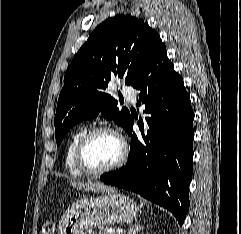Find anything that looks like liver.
Masks as SVG:
<instances>
[{
  "instance_id": "6515ba94",
  "label": "liver",
  "mask_w": 241,
  "mask_h": 234,
  "mask_svg": "<svg viewBox=\"0 0 241 234\" xmlns=\"http://www.w3.org/2000/svg\"><path fill=\"white\" fill-rule=\"evenodd\" d=\"M72 187L76 188L77 190H84V191H92V192H106L109 190V188L96 181H70L68 182Z\"/></svg>"
}]
</instances>
